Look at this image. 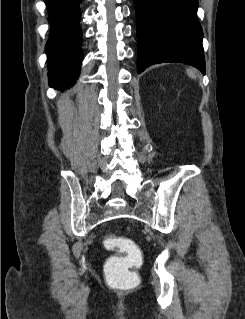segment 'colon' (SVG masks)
Returning a JSON list of instances; mask_svg holds the SVG:
<instances>
[{"label": "colon", "instance_id": "obj_1", "mask_svg": "<svg viewBox=\"0 0 245 319\" xmlns=\"http://www.w3.org/2000/svg\"><path fill=\"white\" fill-rule=\"evenodd\" d=\"M103 246L121 255L110 260L106 265L107 276L117 283H135V279L127 277L129 267L140 261L134 242L124 237L108 236L103 240Z\"/></svg>", "mask_w": 245, "mask_h": 319}]
</instances>
